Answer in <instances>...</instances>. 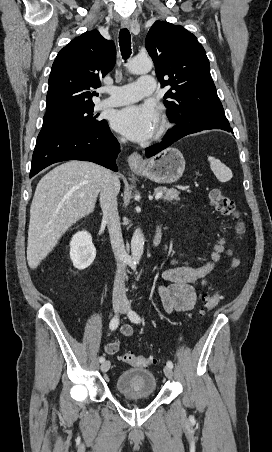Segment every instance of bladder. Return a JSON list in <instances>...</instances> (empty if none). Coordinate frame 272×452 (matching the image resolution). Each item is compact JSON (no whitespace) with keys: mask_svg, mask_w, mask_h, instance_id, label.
Instances as JSON below:
<instances>
[{"mask_svg":"<svg viewBox=\"0 0 272 452\" xmlns=\"http://www.w3.org/2000/svg\"><path fill=\"white\" fill-rule=\"evenodd\" d=\"M115 387L125 395L153 396L157 391V379L149 369L133 368L117 377Z\"/></svg>","mask_w":272,"mask_h":452,"instance_id":"1","label":"bladder"}]
</instances>
